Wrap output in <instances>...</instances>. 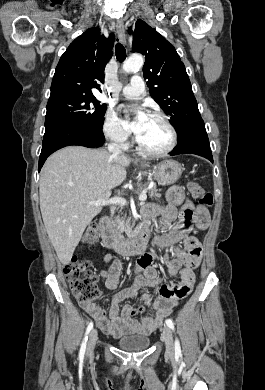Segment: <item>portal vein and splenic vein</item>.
<instances>
[{"instance_id":"obj_1","label":"portal vein and splenic vein","mask_w":265,"mask_h":390,"mask_svg":"<svg viewBox=\"0 0 265 390\" xmlns=\"http://www.w3.org/2000/svg\"><path fill=\"white\" fill-rule=\"evenodd\" d=\"M146 193H147V189L145 188L139 196L140 201H145L147 199ZM111 204H113V205H126L127 201L122 197H113V198H107V199H98L95 202H89V205H97V206H106V205H111Z\"/></svg>"}]
</instances>
